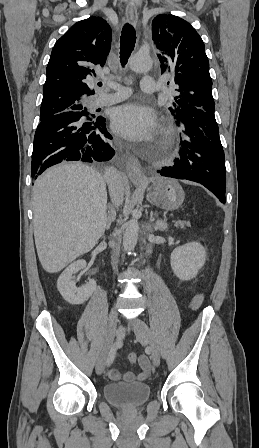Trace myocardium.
<instances>
[{"label": "myocardium", "instance_id": "myocardium-1", "mask_svg": "<svg viewBox=\"0 0 259 448\" xmlns=\"http://www.w3.org/2000/svg\"><path fill=\"white\" fill-rule=\"evenodd\" d=\"M164 134L167 136V135H169L170 134V130L169 129H166L165 131H164Z\"/></svg>", "mask_w": 259, "mask_h": 448}]
</instances>
